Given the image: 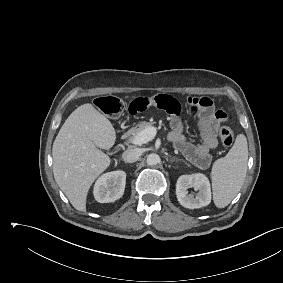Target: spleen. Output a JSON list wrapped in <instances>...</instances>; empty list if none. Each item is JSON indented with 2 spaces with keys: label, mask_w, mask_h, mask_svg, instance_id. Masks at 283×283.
Here are the masks:
<instances>
[{
  "label": "spleen",
  "mask_w": 283,
  "mask_h": 283,
  "mask_svg": "<svg viewBox=\"0 0 283 283\" xmlns=\"http://www.w3.org/2000/svg\"><path fill=\"white\" fill-rule=\"evenodd\" d=\"M248 145L245 135L239 134L227 155L216 160L212 167L213 201L224 208L240 191L247 172Z\"/></svg>",
  "instance_id": "3e777b00"
}]
</instances>
